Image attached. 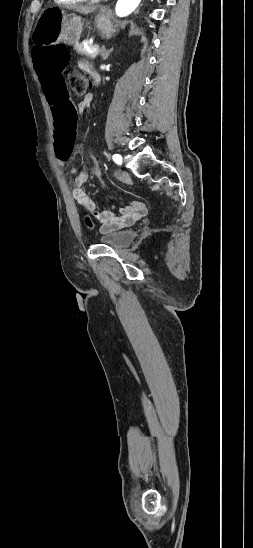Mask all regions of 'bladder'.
<instances>
[{
  "instance_id": "1",
  "label": "bladder",
  "mask_w": 253,
  "mask_h": 548,
  "mask_svg": "<svg viewBox=\"0 0 253 548\" xmlns=\"http://www.w3.org/2000/svg\"><path fill=\"white\" fill-rule=\"evenodd\" d=\"M136 237V231L133 229L108 231L99 238V243L114 248H124L128 246Z\"/></svg>"
}]
</instances>
